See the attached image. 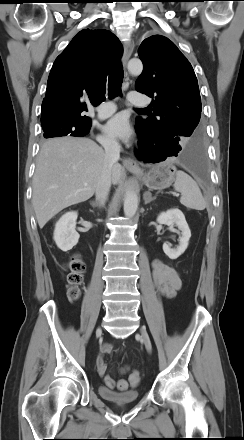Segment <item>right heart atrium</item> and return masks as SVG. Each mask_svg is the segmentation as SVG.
I'll use <instances>...</instances> for the list:
<instances>
[{
	"label": "right heart atrium",
	"instance_id": "obj_1",
	"mask_svg": "<svg viewBox=\"0 0 244 440\" xmlns=\"http://www.w3.org/2000/svg\"><path fill=\"white\" fill-rule=\"evenodd\" d=\"M99 142L104 146H113L115 145V141L109 138L106 135H100L99 136Z\"/></svg>",
	"mask_w": 244,
	"mask_h": 440
}]
</instances>
